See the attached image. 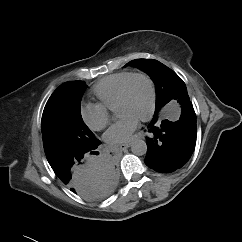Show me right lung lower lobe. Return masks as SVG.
<instances>
[{
	"label": "right lung lower lobe",
	"instance_id": "right-lung-lower-lobe-1",
	"mask_svg": "<svg viewBox=\"0 0 242 242\" xmlns=\"http://www.w3.org/2000/svg\"><path fill=\"white\" fill-rule=\"evenodd\" d=\"M99 143L92 149L73 152L55 158L49 162L58 178L70 190L88 200H101L109 196L114 190L118 173L111 159L98 158L92 160Z\"/></svg>",
	"mask_w": 242,
	"mask_h": 242
}]
</instances>
